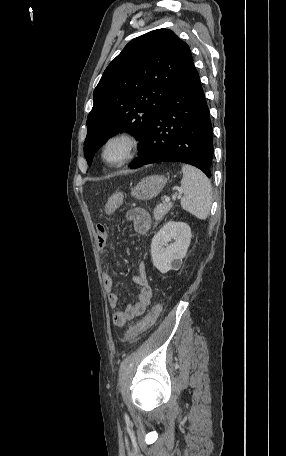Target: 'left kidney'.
<instances>
[{"instance_id": "5707ae66", "label": "left kidney", "mask_w": 286, "mask_h": 456, "mask_svg": "<svg viewBox=\"0 0 286 456\" xmlns=\"http://www.w3.org/2000/svg\"><path fill=\"white\" fill-rule=\"evenodd\" d=\"M174 239L175 242L168 244ZM191 241L190 226L183 222L169 221L156 233L151 243L153 265L161 272L178 270Z\"/></svg>"}]
</instances>
